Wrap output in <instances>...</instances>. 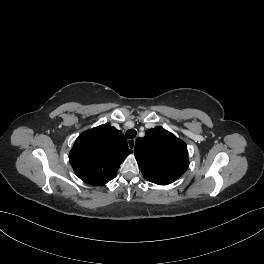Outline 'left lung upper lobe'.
<instances>
[{
  "label": "left lung upper lobe",
  "instance_id": "1",
  "mask_svg": "<svg viewBox=\"0 0 264 264\" xmlns=\"http://www.w3.org/2000/svg\"><path fill=\"white\" fill-rule=\"evenodd\" d=\"M135 157L149 181L173 182L188 168L186 144L162 127L149 129L137 138Z\"/></svg>",
  "mask_w": 264,
  "mask_h": 264
}]
</instances>
